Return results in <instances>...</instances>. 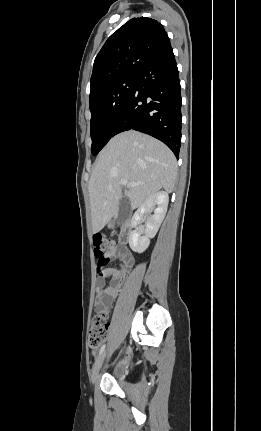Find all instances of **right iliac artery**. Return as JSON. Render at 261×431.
I'll use <instances>...</instances> for the list:
<instances>
[{"mask_svg": "<svg viewBox=\"0 0 261 431\" xmlns=\"http://www.w3.org/2000/svg\"><path fill=\"white\" fill-rule=\"evenodd\" d=\"M106 345H103L99 350V355H101L105 350Z\"/></svg>", "mask_w": 261, "mask_h": 431, "instance_id": "82829eb1", "label": "right iliac artery"}]
</instances>
